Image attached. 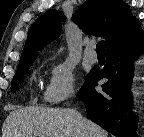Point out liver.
I'll list each match as a JSON object with an SVG mask.
<instances>
[{"label":"liver","mask_w":144,"mask_h":137,"mask_svg":"<svg viewBox=\"0 0 144 137\" xmlns=\"http://www.w3.org/2000/svg\"><path fill=\"white\" fill-rule=\"evenodd\" d=\"M34 135V136H32ZM107 137L97 124L72 109L23 107L6 118L2 137Z\"/></svg>","instance_id":"6515ba94"}]
</instances>
